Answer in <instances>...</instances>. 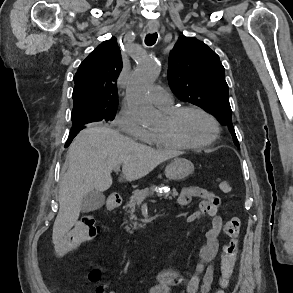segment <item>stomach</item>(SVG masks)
Returning <instances> with one entry per match:
<instances>
[{
  "instance_id": "0dacf381",
  "label": "stomach",
  "mask_w": 293,
  "mask_h": 293,
  "mask_svg": "<svg viewBox=\"0 0 293 293\" xmlns=\"http://www.w3.org/2000/svg\"><path fill=\"white\" fill-rule=\"evenodd\" d=\"M194 171V164L186 158H175L165 169V175L169 180L181 181Z\"/></svg>"
}]
</instances>
